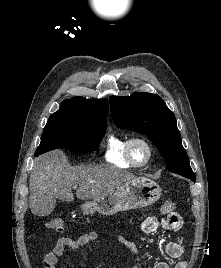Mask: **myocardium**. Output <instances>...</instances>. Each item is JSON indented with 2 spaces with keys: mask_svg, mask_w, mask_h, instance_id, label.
Instances as JSON below:
<instances>
[{
  "mask_svg": "<svg viewBox=\"0 0 221 268\" xmlns=\"http://www.w3.org/2000/svg\"><path fill=\"white\" fill-rule=\"evenodd\" d=\"M137 143L142 144L147 150V156L143 162H137L133 156L132 149L133 146ZM125 153L127 159L134 167H144L151 161L153 157V147L150 141L145 137L142 136L132 137L126 143Z\"/></svg>",
  "mask_w": 221,
  "mask_h": 268,
  "instance_id": "myocardium-1",
  "label": "myocardium"
}]
</instances>
